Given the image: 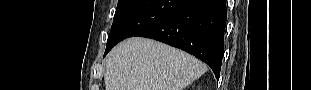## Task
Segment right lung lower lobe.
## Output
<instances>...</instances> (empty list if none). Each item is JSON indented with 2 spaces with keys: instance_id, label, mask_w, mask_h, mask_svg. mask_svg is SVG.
I'll return each instance as SVG.
<instances>
[{
  "instance_id": "right-lung-lower-lobe-1",
  "label": "right lung lower lobe",
  "mask_w": 311,
  "mask_h": 90,
  "mask_svg": "<svg viewBox=\"0 0 311 90\" xmlns=\"http://www.w3.org/2000/svg\"><path fill=\"white\" fill-rule=\"evenodd\" d=\"M226 19V0H186L136 36L155 39L194 55L207 63L219 79Z\"/></svg>"
}]
</instances>
